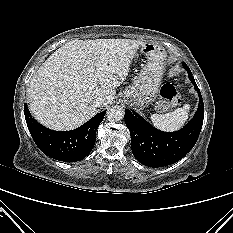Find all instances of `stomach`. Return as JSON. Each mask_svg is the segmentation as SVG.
<instances>
[{
	"instance_id": "obj_1",
	"label": "stomach",
	"mask_w": 233,
	"mask_h": 233,
	"mask_svg": "<svg viewBox=\"0 0 233 233\" xmlns=\"http://www.w3.org/2000/svg\"><path fill=\"white\" fill-rule=\"evenodd\" d=\"M140 50L148 62L134 84L124 91L123 98L137 107H145L157 97L167 54L162 47L151 42H144Z\"/></svg>"
}]
</instances>
